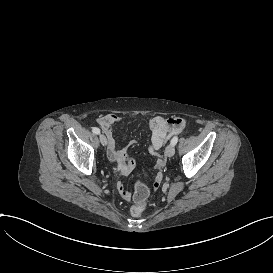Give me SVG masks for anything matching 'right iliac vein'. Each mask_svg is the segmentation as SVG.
Listing matches in <instances>:
<instances>
[{
    "instance_id": "right-iliac-vein-1",
    "label": "right iliac vein",
    "mask_w": 273,
    "mask_h": 273,
    "mask_svg": "<svg viewBox=\"0 0 273 273\" xmlns=\"http://www.w3.org/2000/svg\"><path fill=\"white\" fill-rule=\"evenodd\" d=\"M99 139H100V142L103 146L107 145V138L104 134H100Z\"/></svg>"
}]
</instances>
